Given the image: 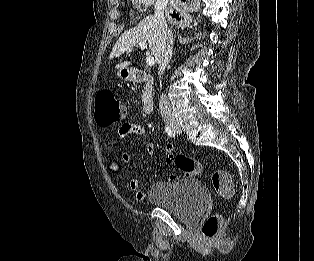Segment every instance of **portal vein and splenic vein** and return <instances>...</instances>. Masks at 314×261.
<instances>
[{
	"label": "portal vein and splenic vein",
	"mask_w": 314,
	"mask_h": 261,
	"mask_svg": "<svg viewBox=\"0 0 314 261\" xmlns=\"http://www.w3.org/2000/svg\"><path fill=\"white\" fill-rule=\"evenodd\" d=\"M138 45L140 46V48H141L142 50L145 49V43H144V42H140ZM130 50H131V49H130ZM146 64H147L148 66H154V65H155V59H154V57L148 56V57L146 58Z\"/></svg>",
	"instance_id": "18ae733b"
}]
</instances>
